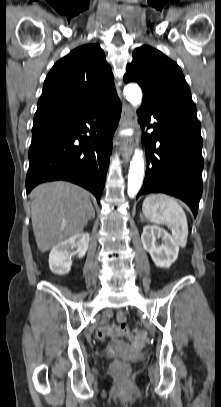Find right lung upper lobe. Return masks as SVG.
<instances>
[{
    "label": "right lung upper lobe",
    "instance_id": "right-lung-upper-lobe-1",
    "mask_svg": "<svg viewBox=\"0 0 221 407\" xmlns=\"http://www.w3.org/2000/svg\"><path fill=\"white\" fill-rule=\"evenodd\" d=\"M117 97L103 50L98 44L82 45L56 62L47 75L33 127L81 115Z\"/></svg>",
    "mask_w": 221,
    "mask_h": 407
}]
</instances>
